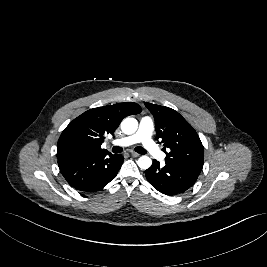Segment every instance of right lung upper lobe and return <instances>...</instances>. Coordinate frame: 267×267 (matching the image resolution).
Returning a JSON list of instances; mask_svg holds the SVG:
<instances>
[{"instance_id": "cb5924a9", "label": "right lung upper lobe", "mask_w": 267, "mask_h": 267, "mask_svg": "<svg viewBox=\"0 0 267 267\" xmlns=\"http://www.w3.org/2000/svg\"><path fill=\"white\" fill-rule=\"evenodd\" d=\"M141 107L134 102L118 103L90 109L62 132L57 143L58 162L65 159L108 154L101 144L107 134H113L126 116L139 114Z\"/></svg>"}]
</instances>
